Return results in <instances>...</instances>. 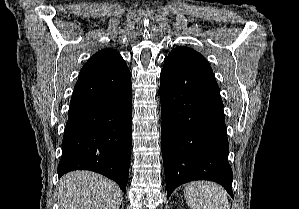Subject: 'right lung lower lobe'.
<instances>
[{"mask_svg": "<svg viewBox=\"0 0 299 209\" xmlns=\"http://www.w3.org/2000/svg\"><path fill=\"white\" fill-rule=\"evenodd\" d=\"M131 116L130 72L80 71L62 141L59 177L73 170H90L114 180L125 192L131 158Z\"/></svg>", "mask_w": 299, "mask_h": 209, "instance_id": "obj_1", "label": "right lung lower lobe"}]
</instances>
